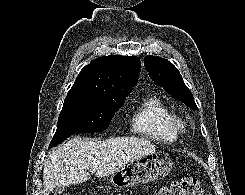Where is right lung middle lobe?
Returning a JSON list of instances; mask_svg holds the SVG:
<instances>
[{"instance_id": "dd1d6c3e", "label": "right lung middle lobe", "mask_w": 245, "mask_h": 195, "mask_svg": "<svg viewBox=\"0 0 245 195\" xmlns=\"http://www.w3.org/2000/svg\"><path fill=\"white\" fill-rule=\"evenodd\" d=\"M124 100L92 95H67L49 147L58 145L73 134L106 130Z\"/></svg>"}]
</instances>
